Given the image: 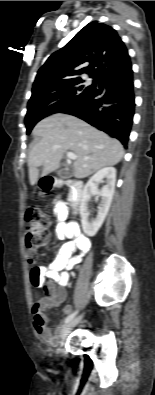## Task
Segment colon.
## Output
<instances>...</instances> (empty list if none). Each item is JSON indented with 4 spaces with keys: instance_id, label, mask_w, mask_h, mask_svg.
<instances>
[{
    "instance_id": "colon-1",
    "label": "colon",
    "mask_w": 155,
    "mask_h": 395,
    "mask_svg": "<svg viewBox=\"0 0 155 395\" xmlns=\"http://www.w3.org/2000/svg\"><path fill=\"white\" fill-rule=\"evenodd\" d=\"M25 218L27 223L25 233L27 259L30 264H35L40 257L41 249L50 242V222L39 207H30Z\"/></svg>"
}]
</instances>
